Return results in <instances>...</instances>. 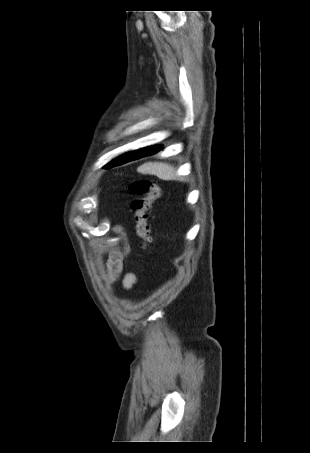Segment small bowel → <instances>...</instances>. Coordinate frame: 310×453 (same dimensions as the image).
Returning a JSON list of instances; mask_svg holds the SVG:
<instances>
[{
	"label": "small bowel",
	"instance_id": "1",
	"mask_svg": "<svg viewBox=\"0 0 310 453\" xmlns=\"http://www.w3.org/2000/svg\"><path fill=\"white\" fill-rule=\"evenodd\" d=\"M114 231L123 239V246L110 251L104 263V275L109 283L114 284L121 281L123 288L130 289L135 285L137 277L133 272H127L122 276L126 259L130 253L127 235L120 226L115 227Z\"/></svg>",
	"mask_w": 310,
	"mask_h": 453
}]
</instances>
